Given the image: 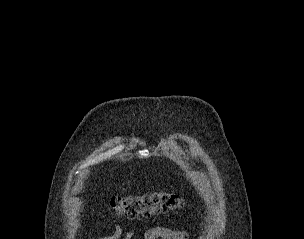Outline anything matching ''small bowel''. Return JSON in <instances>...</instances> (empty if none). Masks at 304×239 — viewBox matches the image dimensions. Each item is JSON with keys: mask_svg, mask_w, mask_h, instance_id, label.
Returning a JSON list of instances; mask_svg holds the SVG:
<instances>
[{"mask_svg": "<svg viewBox=\"0 0 304 239\" xmlns=\"http://www.w3.org/2000/svg\"><path fill=\"white\" fill-rule=\"evenodd\" d=\"M111 234L101 239H135L133 231L123 232L120 226L112 224ZM188 233L182 229H170L166 227H152L144 234V239H188Z\"/></svg>", "mask_w": 304, "mask_h": 239, "instance_id": "small-bowel-1", "label": "small bowel"}]
</instances>
